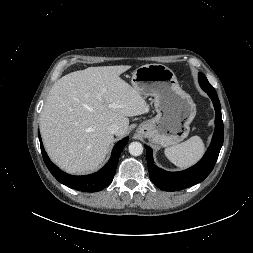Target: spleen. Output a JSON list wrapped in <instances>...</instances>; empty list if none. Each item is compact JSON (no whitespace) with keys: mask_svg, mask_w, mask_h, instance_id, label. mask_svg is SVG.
Masks as SVG:
<instances>
[{"mask_svg":"<svg viewBox=\"0 0 253 253\" xmlns=\"http://www.w3.org/2000/svg\"><path fill=\"white\" fill-rule=\"evenodd\" d=\"M205 146L199 136H193L185 142L165 149L166 157L176 166L187 168L202 157Z\"/></svg>","mask_w":253,"mask_h":253,"instance_id":"spleen-1","label":"spleen"}]
</instances>
